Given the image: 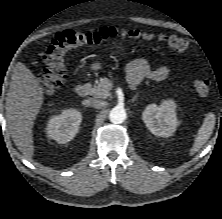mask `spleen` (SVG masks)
Masks as SVG:
<instances>
[{
  "label": "spleen",
  "mask_w": 222,
  "mask_h": 219,
  "mask_svg": "<svg viewBox=\"0 0 222 219\" xmlns=\"http://www.w3.org/2000/svg\"><path fill=\"white\" fill-rule=\"evenodd\" d=\"M215 119V115L212 113L206 115L203 124L198 130L193 147L190 149V155H194L196 152H198L200 148H202V146L208 141L214 129Z\"/></svg>",
  "instance_id": "1"
}]
</instances>
